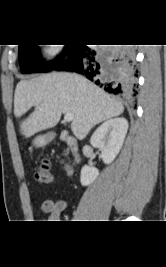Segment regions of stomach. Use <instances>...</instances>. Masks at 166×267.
I'll return each mask as SVG.
<instances>
[{
	"instance_id": "1",
	"label": "stomach",
	"mask_w": 166,
	"mask_h": 267,
	"mask_svg": "<svg viewBox=\"0 0 166 267\" xmlns=\"http://www.w3.org/2000/svg\"><path fill=\"white\" fill-rule=\"evenodd\" d=\"M51 139V136L49 134L46 135H40L35 138L34 145L37 147L45 146Z\"/></svg>"
}]
</instances>
